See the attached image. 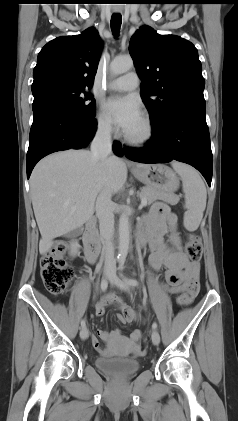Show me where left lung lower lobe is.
I'll return each instance as SVG.
<instances>
[{
    "label": "left lung lower lobe",
    "instance_id": "1",
    "mask_svg": "<svg viewBox=\"0 0 238 421\" xmlns=\"http://www.w3.org/2000/svg\"><path fill=\"white\" fill-rule=\"evenodd\" d=\"M206 105L192 102L170 111L143 149H124L130 160L141 163H167L177 160L199 170L209 186L213 158L205 118Z\"/></svg>",
    "mask_w": 238,
    "mask_h": 421
}]
</instances>
